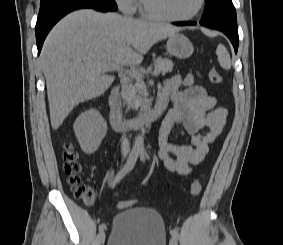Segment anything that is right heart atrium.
Instances as JSON below:
<instances>
[{
  "mask_svg": "<svg viewBox=\"0 0 283 245\" xmlns=\"http://www.w3.org/2000/svg\"><path fill=\"white\" fill-rule=\"evenodd\" d=\"M118 8L125 14H133L137 8L136 0H114Z\"/></svg>",
  "mask_w": 283,
  "mask_h": 245,
  "instance_id": "obj_1",
  "label": "right heart atrium"
}]
</instances>
